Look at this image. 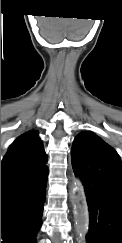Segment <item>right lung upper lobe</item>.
Listing matches in <instances>:
<instances>
[{
  "mask_svg": "<svg viewBox=\"0 0 122 243\" xmlns=\"http://www.w3.org/2000/svg\"><path fill=\"white\" fill-rule=\"evenodd\" d=\"M47 155L35 131L18 137L9 147L1 165V186L47 168Z\"/></svg>",
  "mask_w": 122,
  "mask_h": 243,
  "instance_id": "cb5924a9",
  "label": "right lung upper lobe"
}]
</instances>
